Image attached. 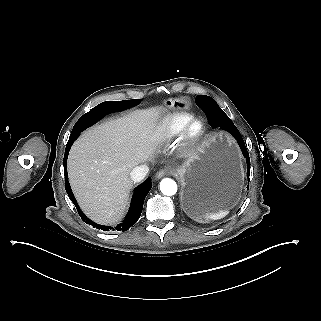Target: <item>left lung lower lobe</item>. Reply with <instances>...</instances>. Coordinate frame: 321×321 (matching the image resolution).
Segmentation results:
<instances>
[{
	"label": "left lung lower lobe",
	"instance_id": "1",
	"mask_svg": "<svg viewBox=\"0 0 321 321\" xmlns=\"http://www.w3.org/2000/svg\"><path fill=\"white\" fill-rule=\"evenodd\" d=\"M204 112L206 113L208 122L212 127L214 128L220 127L221 129H224L230 132L233 135V137L237 140L242 150V153L247 161V177L249 179V174H250L249 154L238 129L235 127V125L229 119V117L219 108L217 104L207 106ZM247 188H249V186H247Z\"/></svg>",
	"mask_w": 321,
	"mask_h": 321
}]
</instances>
